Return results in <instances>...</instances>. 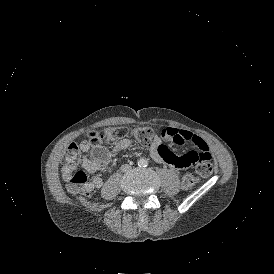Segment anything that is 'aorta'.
<instances>
[{
    "label": "aorta",
    "mask_w": 274,
    "mask_h": 274,
    "mask_svg": "<svg viewBox=\"0 0 274 274\" xmlns=\"http://www.w3.org/2000/svg\"><path fill=\"white\" fill-rule=\"evenodd\" d=\"M148 164L147 160L144 158L139 159L138 165L139 166H146Z\"/></svg>",
    "instance_id": "1"
}]
</instances>
